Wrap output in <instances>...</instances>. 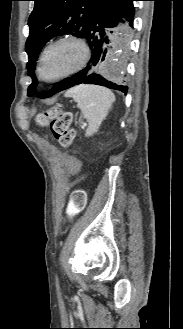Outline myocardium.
Here are the masks:
<instances>
[{
	"label": "myocardium",
	"mask_w": 183,
	"mask_h": 329,
	"mask_svg": "<svg viewBox=\"0 0 183 329\" xmlns=\"http://www.w3.org/2000/svg\"><path fill=\"white\" fill-rule=\"evenodd\" d=\"M65 41H73V42H76L77 44L80 45V47L83 50V58H82L81 62L75 68H73L72 70H70V71H68V72H66L62 75H59V76L54 77V78H46L43 75V63H44V59H45V56H46L47 52L51 48H53L54 46H56V45H58L62 42H65ZM90 56H91L90 48H89L88 44L85 42L84 39H82L78 36H75V35L62 36V37L54 40L50 44H48L44 48V50L42 51L40 59H39V66H38L39 76L43 81H46V82H56V81L66 79V78L78 73L79 71H81L87 65V63L89 62Z\"/></svg>",
	"instance_id": "obj_1"
}]
</instances>
